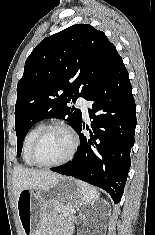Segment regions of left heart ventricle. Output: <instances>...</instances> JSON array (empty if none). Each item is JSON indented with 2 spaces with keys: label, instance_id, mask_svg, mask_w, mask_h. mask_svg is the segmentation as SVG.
Listing matches in <instances>:
<instances>
[{
  "label": "left heart ventricle",
  "instance_id": "b2bd125f",
  "mask_svg": "<svg viewBox=\"0 0 155 235\" xmlns=\"http://www.w3.org/2000/svg\"><path fill=\"white\" fill-rule=\"evenodd\" d=\"M71 148L69 136L62 130L48 132L36 148V158L42 163H54L67 156Z\"/></svg>",
  "mask_w": 155,
  "mask_h": 235
}]
</instances>
